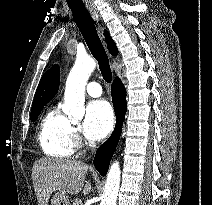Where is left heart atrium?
Instances as JSON below:
<instances>
[{
    "label": "left heart atrium",
    "instance_id": "left-heart-atrium-1",
    "mask_svg": "<svg viewBox=\"0 0 212 205\" xmlns=\"http://www.w3.org/2000/svg\"><path fill=\"white\" fill-rule=\"evenodd\" d=\"M114 123L110 105L104 100H95L86 107L83 123L84 134L91 140H100L107 136Z\"/></svg>",
    "mask_w": 212,
    "mask_h": 205
}]
</instances>
